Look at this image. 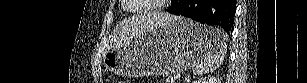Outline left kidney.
<instances>
[{"label": "left kidney", "instance_id": "left-kidney-1", "mask_svg": "<svg viewBox=\"0 0 307 83\" xmlns=\"http://www.w3.org/2000/svg\"><path fill=\"white\" fill-rule=\"evenodd\" d=\"M193 83H221V80L217 77H210V78H201L199 80L194 81Z\"/></svg>", "mask_w": 307, "mask_h": 83}]
</instances>
